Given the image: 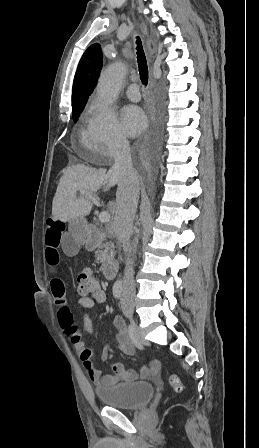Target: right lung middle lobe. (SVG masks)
<instances>
[{
	"label": "right lung middle lobe",
	"mask_w": 259,
	"mask_h": 448,
	"mask_svg": "<svg viewBox=\"0 0 259 448\" xmlns=\"http://www.w3.org/2000/svg\"><path fill=\"white\" fill-rule=\"evenodd\" d=\"M83 110V108L81 109H76L72 111V116H73V120L76 121L80 115V112Z\"/></svg>",
	"instance_id": "1"
}]
</instances>
